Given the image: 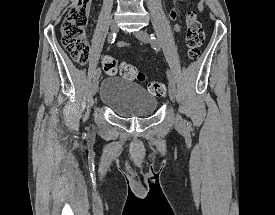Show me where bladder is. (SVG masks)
Returning <instances> with one entry per match:
<instances>
[{
  "label": "bladder",
  "mask_w": 275,
  "mask_h": 215,
  "mask_svg": "<svg viewBox=\"0 0 275 215\" xmlns=\"http://www.w3.org/2000/svg\"><path fill=\"white\" fill-rule=\"evenodd\" d=\"M99 99L121 118L148 117L157 107L154 94L144 90L137 82L119 76L103 79Z\"/></svg>",
  "instance_id": "31cf9c89"
}]
</instances>
